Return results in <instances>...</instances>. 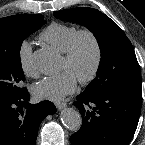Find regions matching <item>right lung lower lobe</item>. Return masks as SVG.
I'll list each match as a JSON object with an SVG mask.
<instances>
[{"label": "right lung lower lobe", "instance_id": "98d812e1", "mask_svg": "<svg viewBox=\"0 0 145 145\" xmlns=\"http://www.w3.org/2000/svg\"><path fill=\"white\" fill-rule=\"evenodd\" d=\"M30 95L0 96V145H35L42 120L54 114L50 101L30 104Z\"/></svg>", "mask_w": 145, "mask_h": 145}]
</instances>
